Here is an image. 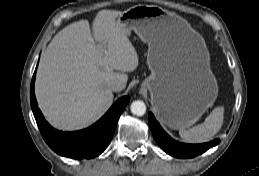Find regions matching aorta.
Listing matches in <instances>:
<instances>
[{
	"label": "aorta",
	"instance_id": "aorta-1",
	"mask_svg": "<svg viewBox=\"0 0 259 176\" xmlns=\"http://www.w3.org/2000/svg\"><path fill=\"white\" fill-rule=\"evenodd\" d=\"M131 112L134 115L142 116L146 113V105L141 100L133 101L130 106Z\"/></svg>",
	"mask_w": 259,
	"mask_h": 176
}]
</instances>
